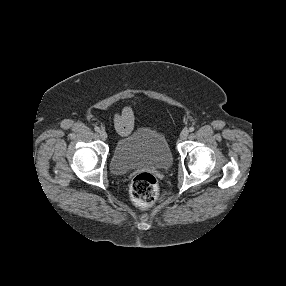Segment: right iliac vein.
I'll use <instances>...</instances> for the list:
<instances>
[{
  "mask_svg": "<svg viewBox=\"0 0 286 286\" xmlns=\"http://www.w3.org/2000/svg\"><path fill=\"white\" fill-rule=\"evenodd\" d=\"M99 135H100L102 140H106L107 139V132L104 129L99 131Z\"/></svg>",
  "mask_w": 286,
  "mask_h": 286,
  "instance_id": "1",
  "label": "right iliac vein"
}]
</instances>
